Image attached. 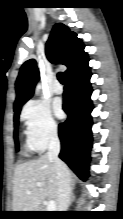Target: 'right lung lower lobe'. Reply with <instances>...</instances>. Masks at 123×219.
<instances>
[{"label": "right lung lower lobe", "instance_id": "right-lung-lower-lobe-1", "mask_svg": "<svg viewBox=\"0 0 123 219\" xmlns=\"http://www.w3.org/2000/svg\"><path fill=\"white\" fill-rule=\"evenodd\" d=\"M91 72L88 61L67 77L64 90L63 109L68 118L59 125L61 152L59 157L82 179H87L91 135L90 85Z\"/></svg>", "mask_w": 123, "mask_h": 219}]
</instances>
